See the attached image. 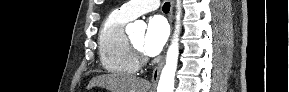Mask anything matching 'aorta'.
I'll use <instances>...</instances> for the list:
<instances>
[{"label":"aorta","mask_w":289,"mask_h":92,"mask_svg":"<svg viewBox=\"0 0 289 92\" xmlns=\"http://www.w3.org/2000/svg\"><path fill=\"white\" fill-rule=\"evenodd\" d=\"M180 16L181 7L180 1H177V13H176V29L171 41V45L168 48L166 54V63L161 71L157 92H173L174 79L177 69L178 56H179V33H180ZM129 29L134 28H146V24L143 21H135L128 25Z\"/></svg>","instance_id":"aorta-1"}]
</instances>
